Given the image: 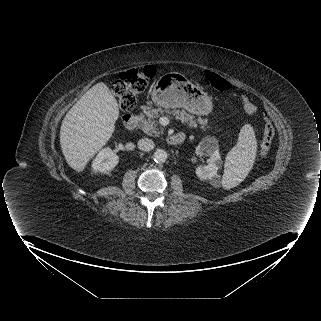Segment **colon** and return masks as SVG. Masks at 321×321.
I'll return each instance as SVG.
<instances>
[{
    "mask_svg": "<svg viewBox=\"0 0 321 321\" xmlns=\"http://www.w3.org/2000/svg\"><path fill=\"white\" fill-rule=\"evenodd\" d=\"M154 65H146L141 69H128L112 85V92L119 101L120 108L129 112L136 104L137 97L145 92L149 81L156 75ZM204 77L210 86L216 90L227 92L230 90V83L220 75L212 71H205ZM274 128L271 122L264 119L263 137L260 145V155L267 157L274 139Z\"/></svg>",
    "mask_w": 321,
    "mask_h": 321,
    "instance_id": "colon-1",
    "label": "colon"
}]
</instances>
